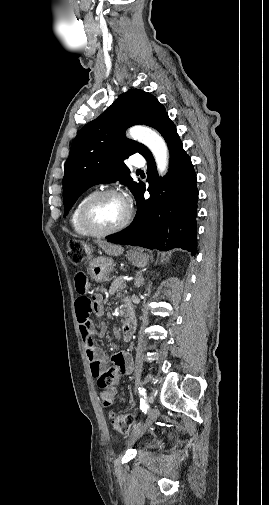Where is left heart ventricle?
Instances as JSON below:
<instances>
[{
  "instance_id": "left-heart-ventricle-1",
  "label": "left heart ventricle",
  "mask_w": 269,
  "mask_h": 505,
  "mask_svg": "<svg viewBox=\"0 0 269 505\" xmlns=\"http://www.w3.org/2000/svg\"><path fill=\"white\" fill-rule=\"evenodd\" d=\"M127 205L120 196H106L98 200L91 208V221L101 228L118 225L125 217Z\"/></svg>"
}]
</instances>
